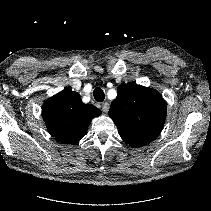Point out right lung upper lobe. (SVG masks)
Masks as SVG:
<instances>
[{"mask_svg": "<svg viewBox=\"0 0 211 211\" xmlns=\"http://www.w3.org/2000/svg\"><path fill=\"white\" fill-rule=\"evenodd\" d=\"M100 114L98 108L84 104L77 92L67 88L45 101L42 108V117L50 134L66 144L81 140L92 119Z\"/></svg>", "mask_w": 211, "mask_h": 211, "instance_id": "1", "label": "right lung upper lobe"}]
</instances>
